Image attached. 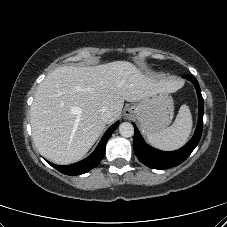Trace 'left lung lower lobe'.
I'll use <instances>...</instances> for the list:
<instances>
[{
  "instance_id": "1",
  "label": "left lung lower lobe",
  "mask_w": 227,
  "mask_h": 227,
  "mask_svg": "<svg viewBox=\"0 0 227 227\" xmlns=\"http://www.w3.org/2000/svg\"><path fill=\"white\" fill-rule=\"evenodd\" d=\"M184 78H186L187 80L191 81L194 84L199 100L198 124L192 139L186 145H184L182 148L176 151L171 152L155 149L146 144L136 125L133 123L135 129L133 143L134 152L138 159L143 164L150 168L166 169L169 167L178 166L188 158V156L192 153V151L195 149V147L198 145L200 141L203 130V113H204L203 97L201 95L200 86L197 80L189 75L184 76Z\"/></svg>"
}]
</instances>
